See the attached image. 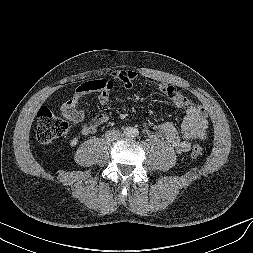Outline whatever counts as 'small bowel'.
<instances>
[{
  "label": "small bowel",
  "instance_id": "c3829d8e",
  "mask_svg": "<svg viewBox=\"0 0 253 253\" xmlns=\"http://www.w3.org/2000/svg\"><path fill=\"white\" fill-rule=\"evenodd\" d=\"M115 80L122 82L126 89L133 87L138 73L134 70H117L112 74ZM157 90L163 93L171 103L186 109L181 124V135L171 122L154 124L149 120L143 122L144 130L151 136H164L179 154H185L191 149L193 141L204 140L207 137L208 119L205 109L182 94L175 86L159 79L147 78ZM112 82L106 79L94 80L79 85L73 95L62 105L64 118L72 125H80V133L88 135L108 121L104 114L95 116L89 123H84L85 110L77 108L82 99L92 91H97V101L101 105L109 102Z\"/></svg>",
  "mask_w": 253,
  "mask_h": 253
}]
</instances>
